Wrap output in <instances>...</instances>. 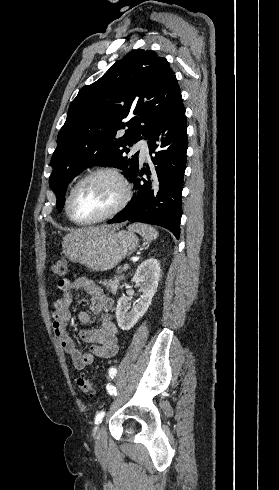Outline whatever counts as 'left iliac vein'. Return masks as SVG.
Segmentation results:
<instances>
[{
    "mask_svg": "<svg viewBox=\"0 0 279 490\" xmlns=\"http://www.w3.org/2000/svg\"><path fill=\"white\" fill-rule=\"evenodd\" d=\"M107 446L106 428L101 424L95 433V452L102 453Z\"/></svg>",
    "mask_w": 279,
    "mask_h": 490,
    "instance_id": "1",
    "label": "left iliac vein"
}]
</instances>
